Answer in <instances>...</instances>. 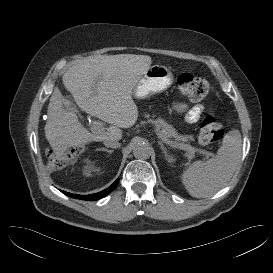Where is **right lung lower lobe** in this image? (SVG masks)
Segmentation results:
<instances>
[{
    "instance_id": "right-lung-lower-lobe-1",
    "label": "right lung lower lobe",
    "mask_w": 273,
    "mask_h": 273,
    "mask_svg": "<svg viewBox=\"0 0 273 273\" xmlns=\"http://www.w3.org/2000/svg\"><path fill=\"white\" fill-rule=\"evenodd\" d=\"M118 183H119V179H117L109 188H107L101 192H98L95 194H90V195H77V194H71V193L64 192V191H62V192L65 195H68L73 198H77V199H81V200H88V201H95V200H99V199L105 197L106 195H108L109 193H111L116 188Z\"/></svg>"
}]
</instances>
